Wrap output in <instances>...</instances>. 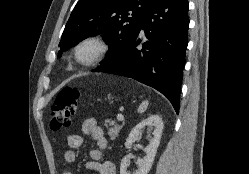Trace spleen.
I'll return each instance as SVG.
<instances>
[{"mask_svg":"<svg viewBox=\"0 0 249 174\" xmlns=\"http://www.w3.org/2000/svg\"><path fill=\"white\" fill-rule=\"evenodd\" d=\"M148 107V101H143L139 108H138V113H143Z\"/></svg>","mask_w":249,"mask_h":174,"instance_id":"1","label":"spleen"}]
</instances>
